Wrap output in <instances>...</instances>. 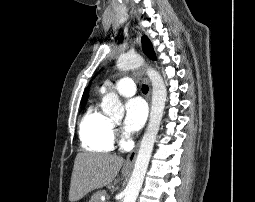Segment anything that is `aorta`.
Segmentation results:
<instances>
[{
    "instance_id": "1",
    "label": "aorta",
    "mask_w": 255,
    "mask_h": 202,
    "mask_svg": "<svg viewBox=\"0 0 255 202\" xmlns=\"http://www.w3.org/2000/svg\"><path fill=\"white\" fill-rule=\"evenodd\" d=\"M143 64L144 59L137 54H125L117 60V68L122 71L139 68ZM146 74L153 88L150 118L140 143L131 178L125 189L123 202H136L152 155L166 103L167 89L161 75L152 68H148ZM101 107L103 112L111 118H122L124 115V107L114 92L103 97Z\"/></svg>"
}]
</instances>
